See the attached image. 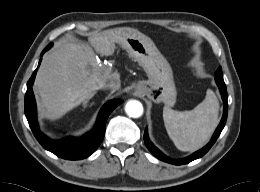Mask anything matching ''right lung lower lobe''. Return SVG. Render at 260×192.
I'll list each match as a JSON object with an SVG mask.
<instances>
[{
  "label": "right lung lower lobe",
  "instance_id": "1",
  "mask_svg": "<svg viewBox=\"0 0 260 192\" xmlns=\"http://www.w3.org/2000/svg\"><path fill=\"white\" fill-rule=\"evenodd\" d=\"M50 47L51 45H48L43 50L41 56ZM40 63L41 60L39 61V65ZM38 67L27 83V92L25 94V115L34 136L46 150L54 153L60 158L80 160L90 156L103 140L105 134V124L108 116L119 104L122 103V100L116 99L107 102L98 115L94 129L86 135L80 138L66 137L62 140H51L39 130L36 117V103L32 91V84L34 82Z\"/></svg>",
  "mask_w": 260,
  "mask_h": 192
}]
</instances>
